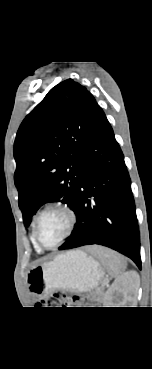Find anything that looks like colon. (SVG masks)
<instances>
[{"label":"colon","mask_w":152,"mask_h":369,"mask_svg":"<svg viewBox=\"0 0 152 369\" xmlns=\"http://www.w3.org/2000/svg\"><path fill=\"white\" fill-rule=\"evenodd\" d=\"M87 298L82 295L69 296L66 293L57 292L49 299H45L39 302L42 307H69L77 306L82 307L86 304Z\"/></svg>","instance_id":"colon-1"}]
</instances>
